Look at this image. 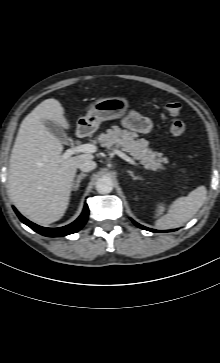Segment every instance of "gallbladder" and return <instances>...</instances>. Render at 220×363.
Here are the masks:
<instances>
[{
    "label": "gallbladder",
    "mask_w": 220,
    "mask_h": 363,
    "mask_svg": "<svg viewBox=\"0 0 220 363\" xmlns=\"http://www.w3.org/2000/svg\"><path fill=\"white\" fill-rule=\"evenodd\" d=\"M44 125L46 126L47 130L59 141H61L62 143L67 142V135L59 124L51 120H45Z\"/></svg>",
    "instance_id": "bac80fb5"
}]
</instances>
